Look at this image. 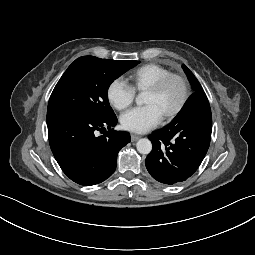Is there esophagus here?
<instances>
[{"label":"esophagus","mask_w":255,"mask_h":255,"mask_svg":"<svg viewBox=\"0 0 255 255\" xmlns=\"http://www.w3.org/2000/svg\"><path fill=\"white\" fill-rule=\"evenodd\" d=\"M139 138H140V136H138V135H135V134L131 135L132 142L137 141Z\"/></svg>","instance_id":"34e87169"}]
</instances>
